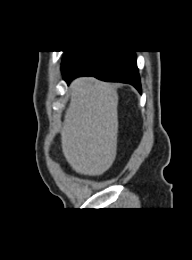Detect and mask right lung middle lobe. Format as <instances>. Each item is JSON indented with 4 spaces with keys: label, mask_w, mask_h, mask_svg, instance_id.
I'll use <instances>...</instances> for the list:
<instances>
[{
    "label": "right lung middle lobe",
    "mask_w": 192,
    "mask_h": 260,
    "mask_svg": "<svg viewBox=\"0 0 192 260\" xmlns=\"http://www.w3.org/2000/svg\"><path fill=\"white\" fill-rule=\"evenodd\" d=\"M83 52L69 51L63 59L62 71H64L73 61H75Z\"/></svg>",
    "instance_id": "dd1d6c3e"
}]
</instances>
